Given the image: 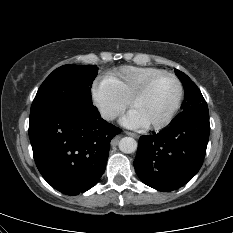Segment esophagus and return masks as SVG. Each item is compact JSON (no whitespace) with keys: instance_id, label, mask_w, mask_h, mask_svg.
<instances>
[{"instance_id":"34e87169","label":"esophagus","mask_w":233,"mask_h":233,"mask_svg":"<svg viewBox=\"0 0 233 233\" xmlns=\"http://www.w3.org/2000/svg\"><path fill=\"white\" fill-rule=\"evenodd\" d=\"M127 135H130V136H133L135 137L136 135L134 133H131V132H126Z\"/></svg>"}]
</instances>
